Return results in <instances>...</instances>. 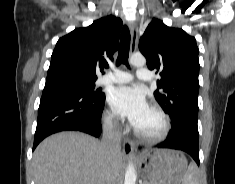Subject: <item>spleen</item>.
Returning <instances> with one entry per match:
<instances>
[{"mask_svg": "<svg viewBox=\"0 0 235 184\" xmlns=\"http://www.w3.org/2000/svg\"><path fill=\"white\" fill-rule=\"evenodd\" d=\"M198 168L196 164H190L187 172H185L182 184H199L197 176Z\"/></svg>", "mask_w": 235, "mask_h": 184, "instance_id": "1", "label": "spleen"}]
</instances>
